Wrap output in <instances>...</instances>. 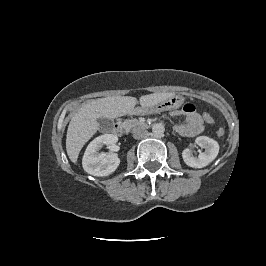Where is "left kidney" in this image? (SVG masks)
<instances>
[{
  "mask_svg": "<svg viewBox=\"0 0 266 266\" xmlns=\"http://www.w3.org/2000/svg\"><path fill=\"white\" fill-rule=\"evenodd\" d=\"M196 144L205 149L198 157H194L190 149L182 152L184 162L192 168H203L211 163L218 155L219 144L207 136H199L195 140Z\"/></svg>",
  "mask_w": 266,
  "mask_h": 266,
  "instance_id": "1",
  "label": "left kidney"
}]
</instances>
